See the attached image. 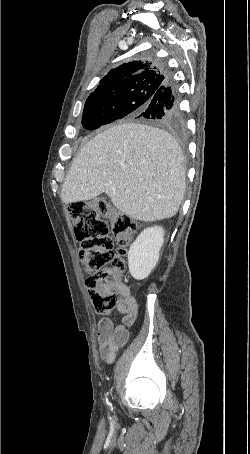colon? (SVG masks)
Wrapping results in <instances>:
<instances>
[{"label": "colon", "instance_id": "obj_1", "mask_svg": "<svg viewBox=\"0 0 250 454\" xmlns=\"http://www.w3.org/2000/svg\"><path fill=\"white\" fill-rule=\"evenodd\" d=\"M79 242V256L91 303L96 312L112 310L119 302L124 256L136 230L135 222L97 197L68 205ZM114 241L118 250L113 251Z\"/></svg>", "mask_w": 250, "mask_h": 454}]
</instances>
